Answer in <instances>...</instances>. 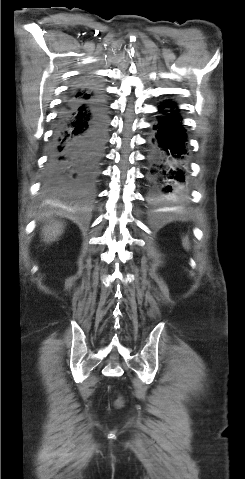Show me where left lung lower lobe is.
<instances>
[{"instance_id": "left-lung-lower-lobe-1", "label": "left lung lower lobe", "mask_w": 245, "mask_h": 479, "mask_svg": "<svg viewBox=\"0 0 245 479\" xmlns=\"http://www.w3.org/2000/svg\"><path fill=\"white\" fill-rule=\"evenodd\" d=\"M156 134L151 141L148 179L151 198L156 202H169L185 194L186 133L179 109L174 102L159 106Z\"/></svg>"}]
</instances>
